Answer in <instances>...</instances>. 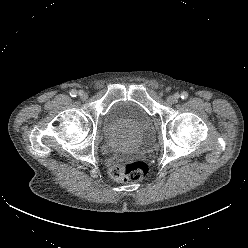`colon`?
Masks as SVG:
<instances>
[{
    "mask_svg": "<svg viewBox=\"0 0 248 248\" xmlns=\"http://www.w3.org/2000/svg\"><path fill=\"white\" fill-rule=\"evenodd\" d=\"M149 167L142 160L119 161L110 168L111 177L118 182H137L148 173Z\"/></svg>",
    "mask_w": 248,
    "mask_h": 248,
    "instance_id": "obj_1",
    "label": "colon"
}]
</instances>
